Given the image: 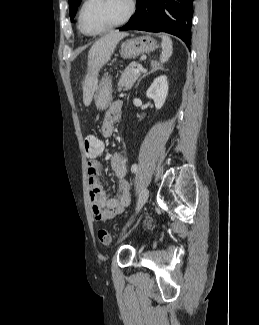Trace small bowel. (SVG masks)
<instances>
[{"label":"small bowel","instance_id":"c3829d8e","mask_svg":"<svg viewBox=\"0 0 259 325\" xmlns=\"http://www.w3.org/2000/svg\"><path fill=\"white\" fill-rule=\"evenodd\" d=\"M123 103L114 101L106 111L101 133L103 137H110L114 133V125L121 117ZM103 143V142H102ZM104 146V144H103ZM103 150L94 153H86L88 158L87 182L89 187V199L92 205V213L96 220H108L123 212L130 204V184L127 180L126 158L123 153L116 152L111 155L110 164L115 177L118 180V192L115 197H109L98 181V175L102 169L99 156Z\"/></svg>","mask_w":259,"mask_h":325}]
</instances>
